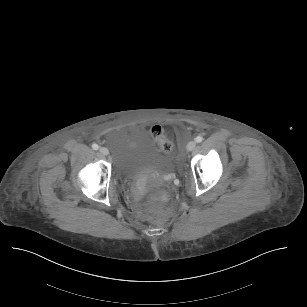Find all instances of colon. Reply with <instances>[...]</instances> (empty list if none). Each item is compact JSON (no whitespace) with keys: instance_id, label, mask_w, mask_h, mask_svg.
Segmentation results:
<instances>
[{"instance_id":"1","label":"colon","mask_w":307,"mask_h":307,"mask_svg":"<svg viewBox=\"0 0 307 307\" xmlns=\"http://www.w3.org/2000/svg\"><path fill=\"white\" fill-rule=\"evenodd\" d=\"M152 133L163 151L169 152L173 149V143L167 138L160 125L153 126ZM146 201L150 205L165 206L169 202V194L165 190H150L146 194Z\"/></svg>"}]
</instances>
